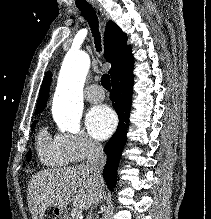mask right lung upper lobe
<instances>
[{"label": "right lung upper lobe", "mask_w": 211, "mask_h": 219, "mask_svg": "<svg viewBox=\"0 0 211 219\" xmlns=\"http://www.w3.org/2000/svg\"><path fill=\"white\" fill-rule=\"evenodd\" d=\"M106 61L112 64L111 79L118 73L133 66L131 47L127 45V35L113 21H108L104 35ZM52 75L48 72L42 82L36 113H41L47 103Z\"/></svg>", "instance_id": "1"}]
</instances>
